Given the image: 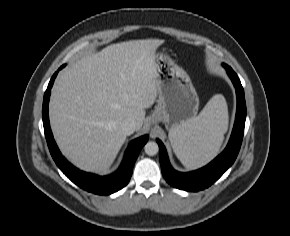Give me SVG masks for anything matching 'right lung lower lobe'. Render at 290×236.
<instances>
[{
  "label": "right lung lower lobe",
  "instance_id": "1",
  "mask_svg": "<svg viewBox=\"0 0 290 236\" xmlns=\"http://www.w3.org/2000/svg\"><path fill=\"white\" fill-rule=\"evenodd\" d=\"M61 68H63V66ZM57 73L58 72H56L52 76L49 82L47 90L44 94L42 107L44 132L52 158L54 159L55 163L60 168V170L73 183H75L76 185H78L79 187H81L86 191L99 195H108L122 189L124 186L128 184L131 178L134 163L138 157L141 148L146 144L148 136L147 135L142 136L130 143L120 168L115 173L109 176L100 177L94 174L80 171L79 169L72 166L60 153L54 141L49 123L48 103L51 93V87L54 83Z\"/></svg>",
  "mask_w": 290,
  "mask_h": 236
}]
</instances>
